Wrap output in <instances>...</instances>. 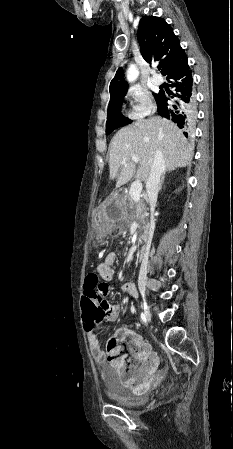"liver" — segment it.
<instances>
[{
	"label": "liver",
	"mask_w": 233,
	"mask_h": 449,
	"mask_svg": "<svg viewBox=\"0 0 233 449\" xmlns=\"http://www.w3.org/2000/svg\"><path fill=\"white\" fill-rule=\"evenodd\" d=\"M193 149L172 121L159 116L137 121L120 129L110 142V178L116 179L117 188L127 183L135 173L137 180L147 181L157 150L163 153L166 169L172 171L190 165ZM133 155L139 156L137 172Z\"/></svg>",
	"instance_id": "6515ba94"
}]
</instances>
